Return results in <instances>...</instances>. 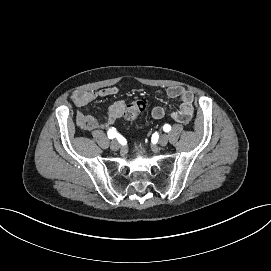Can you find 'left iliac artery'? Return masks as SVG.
<instances>
[{"mask_svg": "<svg viewBox=\"0 0 271 271\" xmlns=\"http://www.w3.org/2000/svg\"><path fill=\"white\" fill-rule=\"evenodd\" d=\"M163 129H164L165 132H169V131L171 130V126L168 125V124H165V125L163 126Z\"/></svg>", "mask_w": 271, "mask_h": 271, "instance_id": "1", "label": "left iliac artery"}]
</instances>
